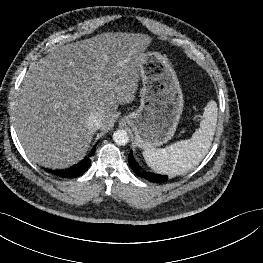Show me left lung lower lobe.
Segmentation results:
<instances>
[{"mask_svg":"<svg viewBox=\"0 0 263 263\" xmlns=\"http://www.w3.org/2000/svg\"><path fill=\"white\" fill-rule=\"evenodd\" d=\"M128 161L129 164L131 166V168L133 169V171L140 177L145 178L151 182H156V183H162V182H166L168 180V177L165 175H159V174H154V173H147L144 171L140 172V167L138 166V164L135 162L132 153L129 154L128 156Z\"/></svg>","mask_w":263,"mask_h":263,"instance_id":"obj_1","label":"left lung lower lobe"}]
</instances>
